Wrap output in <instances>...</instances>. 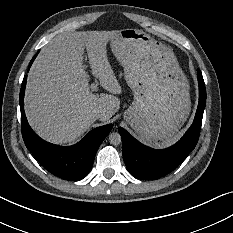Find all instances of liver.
Instances as JSON below:
<instances>
[{"mask_svg": "<svg viewBox=\"0 0 233 233\" xmlns=\"http://www.w3.org/2000/svg\"><path fill=\"white\" fill-rule=\"evenodd\" d=\"M116 32L67 31L40 50L28 71L23 101L28 124L41 139L72 146L94 123V111L102 112L100 121L106 122L120 109L121 89L105 52ZM85 47L89 72L107 92L93 94L89 89Z\"/></svg>", "mask_w": 233, "mask_h": 233, "instance_id": "obj_1", "label": "liver"}]
</instances>
